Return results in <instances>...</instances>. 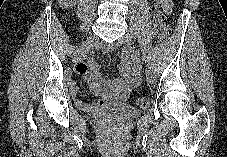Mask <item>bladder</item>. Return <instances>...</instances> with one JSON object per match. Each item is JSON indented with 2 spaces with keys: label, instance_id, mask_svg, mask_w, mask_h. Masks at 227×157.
Segmentation results:
<instances>
[{
  "label": "bladder",
  "instance_id": "obj_1",
  "mask_svg": "<svg viewBox=\"0 0 227 157\" xmlns=\"http://www.w3.org/2000/svg\"><path fill=\"white\" fill-rule=\"evenodd\" d=\"M140 111L130 104L117 103L105 105L95 112V117L112 119L117 121H127L139 115Z\"/></svg>",
  "mask_w": 227,
  "mask_h": 157
}]
</instances>
